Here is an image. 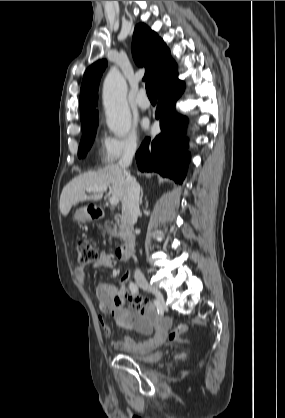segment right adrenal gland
<instances>
[{
    "mask_svg": "<svg viewBox=\"0 0 285 418\" xmlns=\"http://www.w3.org/2000/svg\"><path fill=\"white\" fill-rule=\"evenodd\" d=\"M142 201H143V188L141 187L140 204H142Z\"/></svg>",
    "mask_w": 285,
    "mask_h": 418,
    "instance_id": "right-adrenal-gland-1",
    "label": "right adrenal gland"
}]
</instances>
